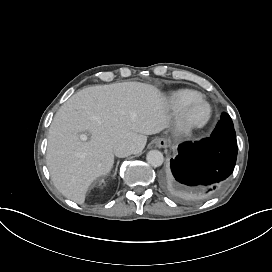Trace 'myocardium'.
I'll list each match as a JSON object with an SVG mask.
<instances>
[{"label": "myocardium", "mask_w": 272, "mask_h": 272, "mask_svg": "<svg viewBox=\"0 0 272 272\" xmlns=\"http://www.w3.org/2000/svg\"><path fill=\"white\" fill-rule=\"evenodd\" d=\"M204 101L207 106H208V109H209V115H208V118L206 119L205 122L203 123H200V124H197V123H193L191 122L189 119H188V116H187V110L188 108L194 104L196 101ZM179 108L181 109V114H180V118H179V121H182L184 123H186V125L188 126V128L190 130H201V129H204L206 128L210 123L211 121L213 120V117H214V109H213V106L211 105V103L202 95H197L196 97L192 98V99H189V100H186L184 101L180 106Z\"/></svg>", "instance_id": "f54148a6"}]
</instances>
